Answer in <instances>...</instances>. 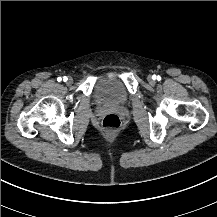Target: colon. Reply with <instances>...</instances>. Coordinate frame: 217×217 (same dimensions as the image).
<instances>
[{
	"mask_svg": "<svg viewBox=\"0 0 217 217\" xmlns=\"http://www.w3.org/2000/svg\"><path fill=\"white\" fill-rule=\"evenodd\" d=\"M103 127L107 132H116L121 127L120 118L115 113L107 114L103 119Z\"/></svg>",
	"mask_w": 217,
	"mask_h": 217,
	"instance_id": "1",
	"label": "colon"
}]
</instances>
